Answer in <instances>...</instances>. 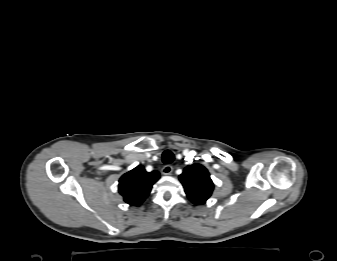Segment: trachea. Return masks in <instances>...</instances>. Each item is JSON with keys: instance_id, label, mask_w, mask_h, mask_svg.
<instances>
[{"instance_id": "1", "label": "trachea", "mask_w": 337, "mask_h": 261, "mask_svg": "<svg viewBox=\"0 0 337 261\" xmlns=\"http://www.w3.org/2000/svg\"><path fill=\"white\" fill-rule=\"evenodd\" d=\"M174 160V154L170 150H166L162 154V161L165 164H170Z\"/></svg>"}]
</instances>
